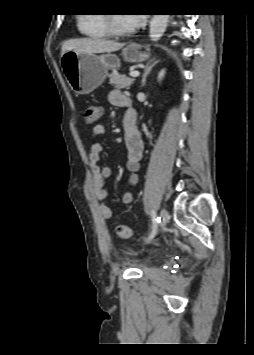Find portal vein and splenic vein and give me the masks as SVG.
Instances as JSON below:
<instances>
[{"instance_id": "portal-vein-and-splenic-vein-1", "label": "portal vein and splenic vein", "mask_w": 254, "mask_h": 355, "mask_svg": "<svg viewBox=\"0 0 254 355\" xmlns=\"http://www.w3.org/2000/svg\"><path fill=\"white\" fill-rule=\"evenodd\" d=\"M131 77L135 78L138 77L140 75V73L138 71H133L129 74Z\"/></svg>"}]
</instances>
